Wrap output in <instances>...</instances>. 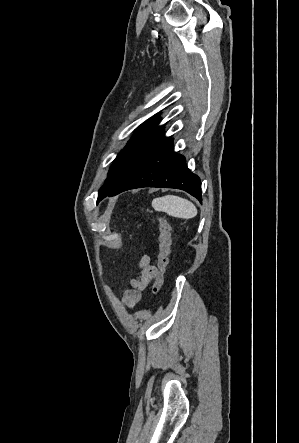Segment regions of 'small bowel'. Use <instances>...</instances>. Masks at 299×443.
<instances>
[{"label": "small bowel", "instance_id": "small-bowel-1", "mask_svg": "<svg viewBox=\"0 0 299 443\" xmlns=\"http://www.w3.org/2000/svg\"><path fill=\"white\" fill-rule=\"evenodd\" d=\"M155 267L151 264V257L143 255L137 266V276L131 278L130 287L124 290L122 300L126 308L133 309L141 299V292L155 278Z\"/></svg>", "mask_w": 299, "mask_h": 443}]
</instances>
